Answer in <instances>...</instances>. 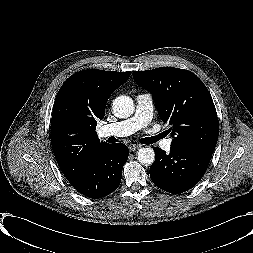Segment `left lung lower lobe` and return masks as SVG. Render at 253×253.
<instances>
[{"label":"left lung lower lobe","mask_w":253,"mask_h":253,"mask_svg":"<svg viewBox=\"0 0 253 253\" xmlns=\"http://www.w3.org/2000/svg\"><path fill=\"white\" fill-rule=\"evenodd\" d=\"M156 159L150 167L152 182L166 192L178 194L195 186L204 175L213 152L171 146L170 153L154 147Z\"/></svg>","instance_id":"left-lung-lower-lobe-1"}]
</instances>
